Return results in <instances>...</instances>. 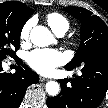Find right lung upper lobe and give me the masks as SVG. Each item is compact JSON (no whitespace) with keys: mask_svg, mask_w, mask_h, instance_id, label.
Returning <instances> with one entry per match:
<instances>
[{"mask_svg":"<svg viewBox=\"0 0 108 108\" xmlns=\"http://www.w3.org/2000/svg\"><path fill=\"white\" fill-rule=\"evenodd\" d=\"M9 2H16V3L20 4L21 7H22V10L24 11V13H25L28 17H30V16L33 14V12H34L31 8L27 7L26 4L21 3V2H18V1H8V2H4V3H2V4L9 3ZM0 5H1V4H0Z\"/></svg>","mask_w":108,"mask_h":108,"instance_id":"1","label":"right lung upper lobe"}]
</instances>
